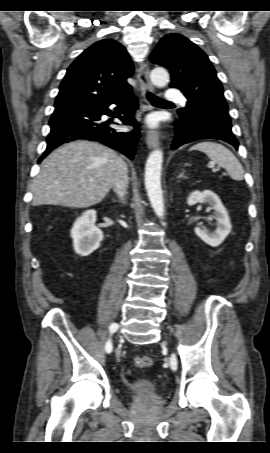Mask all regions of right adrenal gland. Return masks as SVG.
<instances>
[{"instance_id": "obj_1", "label": "right adrenal gland", "mask_w": 270, "mask_h": 453, "mask_svg": "<svg viewBox=\"0 0 270 453\" xmlns=\"http://www.w3.org/2000/svg\"><path fill=\"white\" fill-rule=\"evenodd\" d=\"M113 202H117V201L113 199Z\"/></svg>"}]
</instances>
